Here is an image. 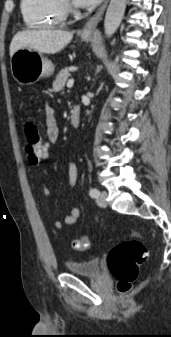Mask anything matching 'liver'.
Masks as SVG:
<instances>
[{
	"instance_id": "obj_1",
	"label": "liver",
	"mask_w": 171,
	"mask_h": 337,
	"mask_svg": "<svg viewBox=\"0 0 171 337\" xmlns=\"http://www.w3.org/2000/svg\"><path fill=\"white\" fill-rule=\"evenodd\" d=\"M73 38V32L62 30H27L18 32L10 44V57L21 48H29L39 53L60 52Z\"/></svg>"
}]
</instances>
